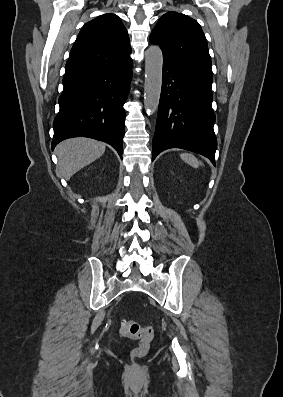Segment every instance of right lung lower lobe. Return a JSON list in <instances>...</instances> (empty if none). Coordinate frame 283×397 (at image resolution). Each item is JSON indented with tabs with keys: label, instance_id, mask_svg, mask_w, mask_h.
Segmentation results:
<instances>
[{
	"label": "right lung lower lobe",
	"instance_id": "98d812e1",
	"mask_svg": "<svg viewBox=\"0 0 283 397\" xmlns=\"http://www.w3.org/2000/svg\"><path fill=\"white\" fill-rule=\"evenodd\" d=\"M132 60L63 79L60 110L53 122L52 149L64 139L89 137L110 144L122 158L123 104L129 93Z\"/></svg>",
	"mask_w": 283,
	"mask_h": 397
}]
</instances>
